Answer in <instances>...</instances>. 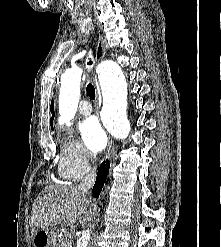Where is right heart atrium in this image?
<instances>
[{"label": "right heart atrium", "mask_w": 221, "mask_h": 247, "mask_svg": "<svg viewBox=\"0 0 221 247\" xmlns=\"http://www.w3.org/2000/svg\"><path fill=\"white\" fill-rule=\"evenodd\" d=\"M91 170V156L87 150L73 138L62 141L59 155V172L67 180H78Z\"/></svg>", "instance_id": "obj_1"}]
</instances>
